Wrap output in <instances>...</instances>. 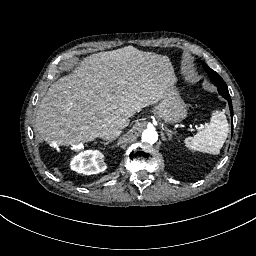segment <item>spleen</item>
Instances as JSON below:
<instances>
[{
    "label": "spleen",
    "instance_id": "obj_1",
    "mask_svg": "<svg viewBox=\"0 0 256 256\" xmlns=\"http://www.w3.org/2000/svg\"><path fill=\"white\" fill-rule=\"evenodd\" d=\"M228 131L225 114L221 110L213 109L209 124L197 131L193 137L185 138L183 144L191 152L219 155Z\"/></svg>",
    "mask_w": 256,
    "mask_h": 256
}]
</instances>
